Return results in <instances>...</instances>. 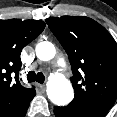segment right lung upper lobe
Segmentation results:
<instances>
[{"mask_svg": "<svg viewBox=\"0 0 117 117\" xmlns=\"http://www.w3.org/2000/svg\"><path fill=\"white\" fill-rule=\"evenodd\" d=\"M44 28L41 20H0V117H12L36 94L19 82L20 54Z\"/></svg>", "mask_w": 117, "mask_h": 117, "instance_id": "cb5924a9", "label": "right lung upper lobe"}]
</instances>
